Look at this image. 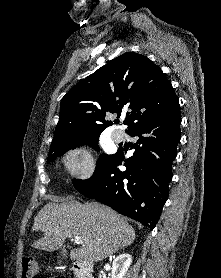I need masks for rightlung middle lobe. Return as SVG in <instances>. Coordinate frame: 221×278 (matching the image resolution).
<instances>
[{
	"label": "right lung middle lobe",
	"mask_w": 221,
	"mask_h": 278,
	"mask_svg": "<svg viewBox=\"0 0 221 278\" xmlns=\"http://www.w3.org/2000/svg\"><path fill=\"white\" fill-rule=\"evenodd\" d=\"M98 138H99V135H92V136L85 137L81 140H78V141H75L72 143L58 145L49 150V156H48L47 161L51 162V161L55 160L57 157H60L61 155H63L66 151L76 148L78 146L86 145V144H88L95 150H98L99 149L98 144H97ZM113 157H114V155H102L100 157L99 161L97 162L93 176L87 180H79V179L75 180L74 181L75 188L77 190L81 189L82 187H84L87 184H89L90 182H92L96 178V176L111 162Z\"/></svg>",
	"instance_id": "obj_1"
}]
</instances>
